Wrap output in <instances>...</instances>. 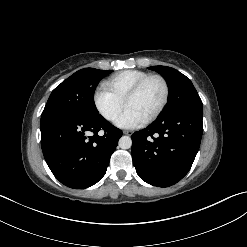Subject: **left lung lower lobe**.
Wrapping results in <instances>:
<instances>
[{
  "label": "left lung lower lobe",
  "mask_w": 247,
  "mask_h": 247,
  "mask_svg": "<svg viewBox=\"0 0 247 247\" xmlns=\"http://www.w3.org/2000/svg\"><path fill=\"white\" fill-rule=\"evenodd\" d=\"M202 118V109L177 110L135 132L132 158L139 177L159 187L180 181L198 152L203 133Z\"/></svg>",
  "instance_id": "obj_1"
}]
</instances>
